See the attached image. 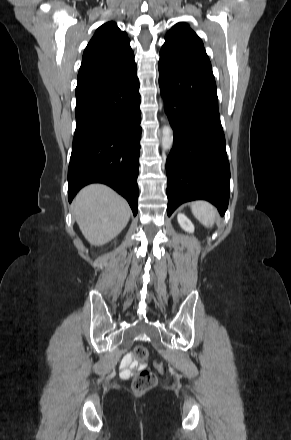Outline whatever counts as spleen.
Returning <instances> with one entry per match:
<instances>
[{
  "label": "spleen",
  "instance_id": "3e777b00",
  "mask_svg": "<svg viewBox=\"0 0 291 440\" xmlns=\"http://www.w3.org/2000/svg\"><path fill=\"white\" fill-rule=\"evenodd\" d=\"M193 215L206 227H212L217 210L206 201H195L191 206Z\"/></svg>",
  "mask_w": 291,
  "mask_h": 440
}]
</instances>
